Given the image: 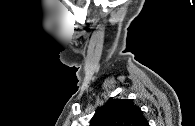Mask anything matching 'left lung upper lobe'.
<instances>
[{
    "instance_id": "obj_1",
    "label": "left lung upper lobe",
    "mask_w": 195,
    "mask_h": 126,
    "mask_svg": "<svg viewBox=\"0 0 195 126\" xmlns=\"http://www.w3.org/2000/svg\"><path fill=\"white\" fill-rule=\"evenodd\" d=\"M139 107L128 99H112L93 116L90 126H146Z\"/></svg>"
}]
</instances>
